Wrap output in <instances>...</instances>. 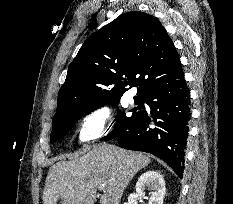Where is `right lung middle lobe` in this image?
I'll use <instances>...</instances> for the list:
<instances>
[{
  "label": "right lung middle lobe",
  "instance_id": "1",
  "mask_svg": "<svg viewBox=\"0 0 233 204\" xmlns=\"http://www.w3.org/2000/svg\"><path fill=\"white\" fill-rule=\"evenodd\" d=\"M135 103L138 105L137 109L132 110L133 114L130 117H127L125 113L119 112L117 116L115 117L116 120V125L114 130L107 135L106 137L103 138V140H109L112 137L116 136L119 134L121 131L125 130L128 128V126L132 123V121L141 113L143 108V102H144V97L143 96H135L134 97ZM119 99H114L111 100L110 102L117 106ZM99 106L91 108V109H86V110H80L78 112H75L69 116H67L64 119H61L57 122H52V132L50 136V143H53L57 140H59L61 137H63L73 126L74 124L83 116L88 114L89 112L95 110L96 108H99Z\"/></svg>",
  "mask_w": 233,
  "mask_h": 204
}]
</instances>
